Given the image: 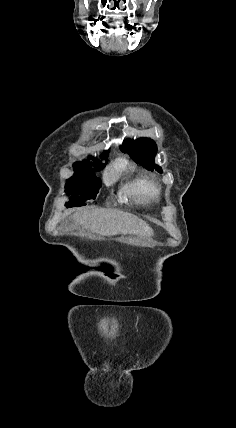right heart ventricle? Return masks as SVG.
Masks as SVG:
<instances>
[{"label": "right heart ventricle", "instance_id": "1", "mask_svg": "<svg viewBox=\"0 0 236 428\" xmlns=\"http://www.w3.org/2000/svg\"><path fill=\"white\" fill-rule=\"evenodd\" d=\"M123 192L138 201H148L159 194V186L152 180L140 178L129 182Z\"/></svg>", "mask_w": 236, "mask_h": 428}]
</instances>
